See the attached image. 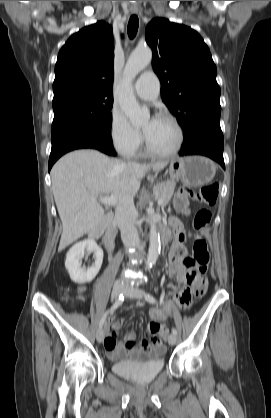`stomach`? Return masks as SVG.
Returning a JSON list of instances; mask_svg holds the SVG:
<instances>
[{
  "label": "stomach",
  "mask_w": 271,
  "mask_h": 418,
  "mask_svg": "<svg viewBox=\"0 0 271 418\" xmlns=\"http://www.w3.org/2000/svg\"><path fill=\"white\" fill-rule=\"evenodd\" d=\"M168 172L172 179L181 180L192 187H199L212 181L216 166L206 157L189 156L172 160Z\"/></svg>",
  "instance_id": "1"
}]
</instances>
